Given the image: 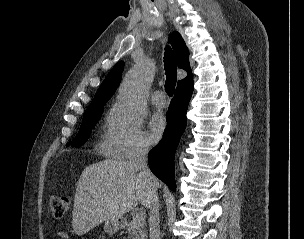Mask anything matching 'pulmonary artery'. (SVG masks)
I'll list each match as a JSON object with an SVG mask.
<instances>
[{
  "label": "pulmonary artery",
  "mask_w": 304,
  "mask_h": 239,
  "mask_svg": "<svg viewBox=\"0 0 304 239\" xmlns=\"http://www.w3.org/2000/svg\"><path fill=\"white\" fill-rule=\"evenodd\" d=\"M151 101L156 107H164L166 104L165 95L161 90H157L152 94Z\"/></svg>",
  "instance_id": "pulmonary-artery-1"
}]
</instances>
